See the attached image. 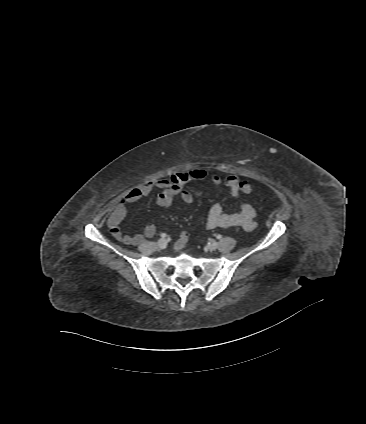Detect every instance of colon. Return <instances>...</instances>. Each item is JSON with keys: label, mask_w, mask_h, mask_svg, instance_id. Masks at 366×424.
<instances>
[{"label": "colon", "mask_w": 366, "mask_h": 424, "mask_svg": "<svg viewBox=\"0 0 366 424\" xmlns=\"http://www.w3.org/2000/svg\"><path fill=\"white\" fill-rule=\"evenodd\" d=\"M190 175L196 180H203L205 178L204 171H193L190 172ZM241 188L246 194H249L253 191V186L247 182H241Z\"/></svg>", "instance_id": "1"}]
</instances>
